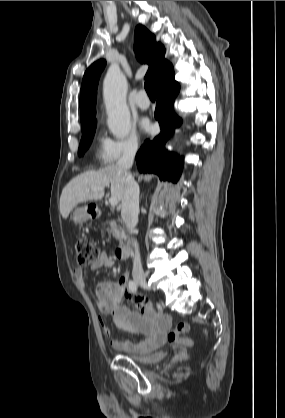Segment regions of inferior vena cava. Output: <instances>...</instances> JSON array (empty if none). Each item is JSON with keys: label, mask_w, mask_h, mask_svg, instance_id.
Segmentation results:
<instances>
[{"label": "inferior vena cava", "mask_w": 285, "mask_h": 418, "mask_svg": "<svg viewBox=\"0 0 285 418\" xmlns=\"http://www.w3.org/2000/svg\"><path fill=\"white\" fill-rule=\"evenodd\" d=\"M137 144H129L123 151L122 157L118 160L116 167L119 172L125 176L124 193L122 197L121 216L131 233L138 223L139 213V186L135 179L129 173L133 165L134 157L137 151ZM133 270L134 275H143L141 257L138 243L134 241Z\"/></svg>", "instance_id": "inferior-vena-cava-1"}]
</instances>
